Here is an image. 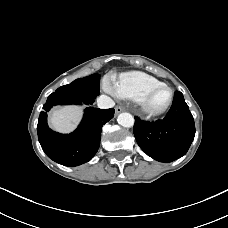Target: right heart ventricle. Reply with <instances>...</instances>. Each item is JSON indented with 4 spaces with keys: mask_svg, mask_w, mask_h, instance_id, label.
Masks as SVG:
<instances>
[{
    "mask_svg": "<svg viewBox=\"0 0 228 228\" xmlns=\"http://www.w3.org/2000/svg\"><path fill=\"white\" fill-rule=\"evenodd\" d=\"M161 83L149 74L134 71L122 74L113 85L112 91L119 98L138 101L148 88Z\"/></svg>",
    "mask_w": 228,
    "mask_h": 228,
    "instance_id": "obj_1",
    "label": "right heart ventricle"
}]
</instances>
